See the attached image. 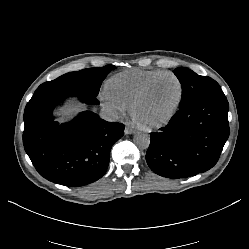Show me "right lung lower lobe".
Listing matches in <instances>:
<instances>
[{"label": "right lung lower lobe", "instance_id": "1", "mask_svg": "<svg viewBox=\"0 0 249 249\" xmlns=\"http://www.w3.org/2000/svg\"><path fill=\"white\" fill-rule=\"evenodd\" d=\"M71 96L86 104H99L78 89L34 93L24 111L23 144L39 174L54 183L76 187L105 174L111 147L124 135L125 126L107 122L91 111L59 124L52 112Z\"/></svg>", "mask_w": 249, "mask_h": 249}]
</instances>
